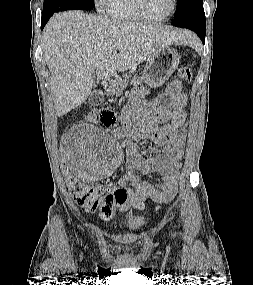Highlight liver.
I'll use <instances>...</instances> for the list:
<instances>
[{
    "label": "liver",
    "mask_w": 253,
    "mask_h": 285,
    "mask_svg": "<svg viewBox=\"0 0 253 285\" xmlns=\"http://www.w3.org/2000/svg\"><path fill=\"white\" fill-rule=\"evenodd\" d=\"M190 38L186 31L157 24L122 22L82 11L55 14L44 29L43 49L57 116L86 101L94 86L93 71L99 79L108 78L136 67L161 47L188 43Z\"/></svg>",
    "instance_id": "6515ba94"
}]
</instances>
